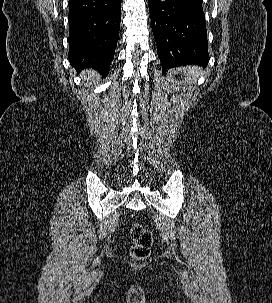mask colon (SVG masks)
Here are the masks:
<instances>
[{
	"mask_svg": "<svg viewBox=\"0 0 272 303\" xmlns=\"http://www.w3.org/2000/svg\"><path fill=\"white\" fill-rule=\"evenodd\" d=\"M130 237L132 240L131 256L136 260L146 259L150 254L153 242L151 231L143 225L135 223L130 229Z\"/></svg>",
	"mask_w": 272,
	"mask_h": 303,
	"instance_id": "1",
	"label": "colon"
}]
</instances>
